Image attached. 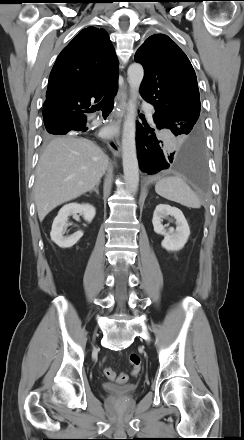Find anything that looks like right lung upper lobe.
<instances>
[{
	"mask_svg": "<svg viewBox=\"0 0 244 440\" xmlns=\"http://www.w3.org/2000/svg\"><path fill=\"white\" fill-rule=\"evenodd\" d=\"M118 61L104 29H83L59 54L43 107L45 127L86 118L84 109L118 88Z\"/></svg>",
	"mask_w": 244,
	"mask_h": 440,
	"instance_id": "obj_1",
	"label": "right lung upper lobe"
}]
</instances>
